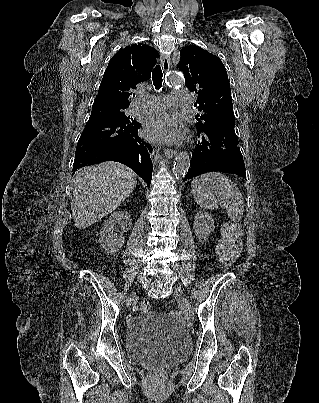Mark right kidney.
<instances>
[{"label":"right kidney","mask_w":319,"mask_h":403,"mask_svg":"<svg viewBox=\"0 0 319 403\" xmlns=\"http://www.w3.org/2000/svg\"><path fill=\"white\" fill-rule=\"evenodd\" d=\"M119 224L122 232L115 233V226ZM132 226V219L130 214L125 211L114 212L100 231L99 243L102 249L108 254L117 253L124 244V232H127Z\"/></svg>","instance_id":"1"}]
</instances>
